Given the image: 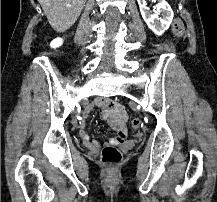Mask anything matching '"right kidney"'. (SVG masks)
<instances>
[{
    "label": "right kidney",
    "mask_w": 217,
    "mask_h": 202,
    "mask_svg": "<svg viewBox=\"0 0 217 202\" xmlns=\"http://www.w3.org/2000/svg\"><path fill=\"white\" fill-rule=\"evenodd\" d=\"M63 40L62 38H56V40H52L50 44V48H59V46H62Z\"/></svg>",
    "instance_id": "1"
}]
</instances>
